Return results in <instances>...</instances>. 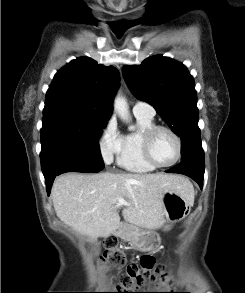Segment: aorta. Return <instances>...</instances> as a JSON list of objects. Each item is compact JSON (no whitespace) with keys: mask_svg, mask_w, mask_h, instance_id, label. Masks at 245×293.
<instances>
[{"mask_svg":"<svg viewBox=\"0 0 245 293\" xmlns=\"http://www.w3.org/2000/svg\"><path fill=\"white\" fill-rule=\"evenodd\" d=\"M114 110L118 116L128 122L130 120V114L128 110V104L125 98L117 95L114 99Z\"/></svg>","mask_w":245,"mask_h":293,"instance_id":"obj_1","label":"aorta"}]
</instances>
